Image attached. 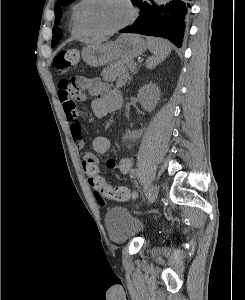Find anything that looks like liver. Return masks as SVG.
<instances>
[{
    "label": "liver",
    "instance_id": "obj_1",
    "mask_svg": "<svg viewBox=\"0 0 245 300\" xmlns=\"http://www.w3.org/2000/svg\"><path fill=\"white\" fill-rule=\"evenodd\" d=\"M91 44H98V42H91Z\"/></svg>",
    "mask_w": 245,
    "mask_h": 300
}]
</instances>
